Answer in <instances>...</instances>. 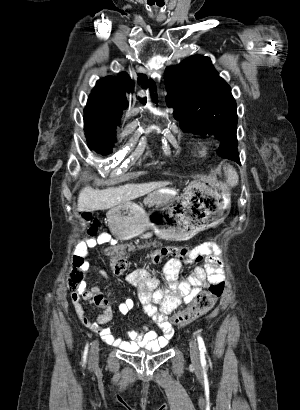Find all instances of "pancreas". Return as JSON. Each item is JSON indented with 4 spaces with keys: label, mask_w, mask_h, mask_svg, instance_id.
<instances>
[{
    "label": "pancreas",
    "mask_w": 300,
    "mask_h": 410,
    "mask_svg": "<svg viewBox=\"0 0 300 410\" xmlns=\"http://www.w3.org/2000/svg\"><path fill=\"white\" fill-rule=\"evenodd\" d=\"M174 198V196L173 195H171V194H164V193H159V197L157 198V200L155 201V203L153 204V205H155V204H164V203H167L168 201H170V200H172ZM145 202V204H148V205H150L151 206V204H150V202L149 201H144Z\"/></svg>",
    "instance_id": "pancreas-1"
}]
</instances>
